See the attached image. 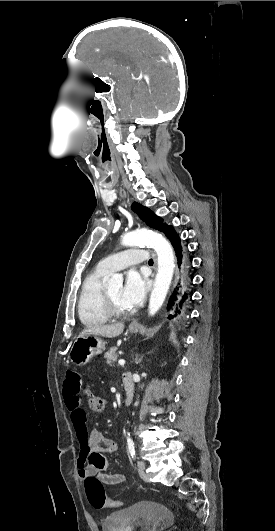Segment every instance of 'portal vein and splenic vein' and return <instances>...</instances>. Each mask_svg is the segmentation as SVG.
<instances>
[{
    "label": "portal vein and splenic vein",
    "mask_w": 275,
    "mask_h": 531,
    "mask_svg": "<svg viewBox=\"0 0 275 531\" xmlns=\"http://www.w3.org/2000/svg\"><path fill=\"white\" fill-rule=\"evenodd\" d=\"M119 365H125V361L124 359H120V361H118Z\"/></svg>",
    "instance_id": "1"
}]
</instances>
